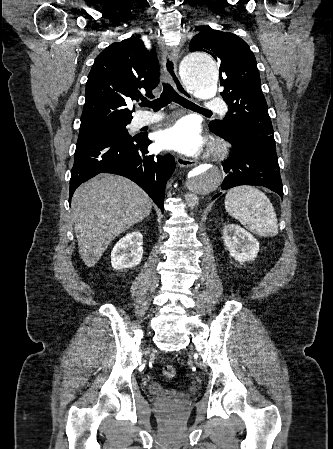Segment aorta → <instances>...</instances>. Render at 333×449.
<instances>
[{"label":"aorta","instance_id":"aorta-1","mask_svg":"<svg viewBox=\"0 0 333 449\" xmlns=\"http://www.w3.org/2000/svg\"><path fill=\"white\" fill-rule=\"evenodd\" d=\"M180 76L184 86L191 92L206 97L216 93L218 68L206 52H193L180 64ZM223 174L217 165H200L192 169L184 179L186 203L191 210L199 204V197L216 192L221 186Z\"/></svg>","mask_w":333,"mask_h":449}]
</instances>
